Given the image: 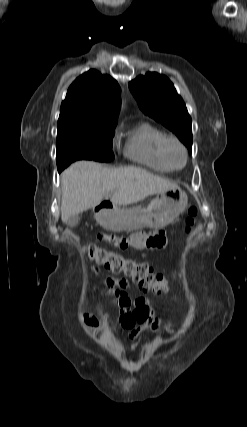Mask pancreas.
<instances>
[{"mask_svg":"<svg viewBox=\"0 0 247 427\" xmlns=\"http://www.w3.org/2000/svg\"><path fill=\"white\" fill-rule=\"evenodd\" d=\"M136 210H139V208H133V209L125 210V211L132 212V211H136Z\"/></svg>","mask_w":247,"mask_h":427,"instance_id":"cf45deb5","label":"pancreas"}]
</instances>
